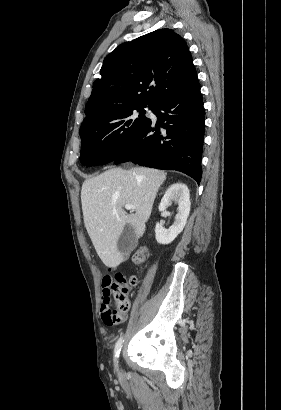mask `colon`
I'll return each instance as SVG.
<instances>
[{"label":"colon","mask_w":281,"mask_h":410,"mask_svg":"<svg viewBox=\"0 0 281 410\" xmlns=\"http://www.w3.org/2000/svg\"><path fill=\"white\" fill-rule=\"evenodd\" d=\"M149 251L145 245L140 246L133 255V262L136 265L143 264L148 258ZM137 284L134 276L126 278L124 275L116 274L110 287V294L113 296L116 308H109L104 315V322L108 325H116L121 321L122 313L130 309V291Z\"/></svg>","instance_id":"5ec220e1"}]
</instances>
